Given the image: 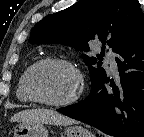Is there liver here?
<instances>
[{
  "mask_svg": "<svg viewBox=\"0 0 144 137\" xmlns=\"http://www.w3.org/2000/svg\"><path fill=\"white\" fill-rule=\"evenodd\" d=\"M11 122L31 123V124H51L70 125L75 121L65 115L51 109H28L14 114Z\"/></svg>",
  "mask_w": 144,
  "mask_h": 137,
  "instance_id": "liver-1",
  "label": "liver"
}]
</instances>
